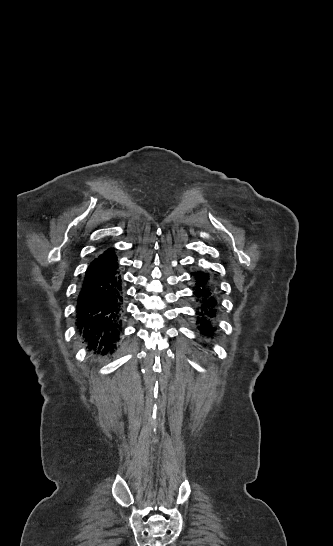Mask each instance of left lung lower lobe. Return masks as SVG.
<instances>
[{
    "label": "left lung lower lobe",
    "instance_id": "left-lung-lower-lobe-1",
    "mask_svg": "<svg viewBox=\"0 0 333 546\" xmlns=\"http://www.w3.org/2000/svg\"><path fill=\"white\" fill-rule=\"evenodd\" d=\"M194 276V295L197 297L201 307L197 311L198 328L203 335L211 337L216 328L213 327L212 319L215 317L218 303L216 300V289L210 282L209 275L202 271H196Z\"/></svg>",
    "mask_w": 333,
    "mask_h": 546
}]
</instances>
